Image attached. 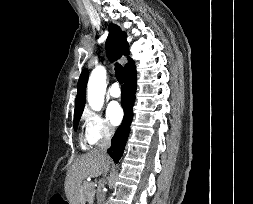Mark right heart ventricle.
Instances as JSON below:
<instances>
[{
	"label": "right heart ventricle",
	"instance_id": "1",
	"mask_svg": "<svg viewBox=\"0 0 253 204\" xmlns=\"http://www.w3.org/2000/svg\"><path fill=\"white\" fill-rule=\"evenodd\" d=\"M80 146L82 147V149H86V147H87L86 137H83V136L80 137Z\"/></svg>",
	"mask_w": 253,
	"mask_h": 204
}]
</instances>
